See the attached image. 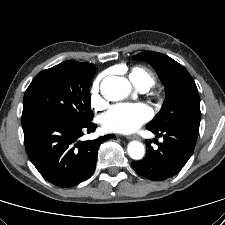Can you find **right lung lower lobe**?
Segmentation results:
<instances>
[{
  "label": "right lung lower lobe",
  "instance_id": "1",
  "mask_svg": "<svg viewBox=\"0 0 225 225\" xmlns=\"http://www.w3.org/2000/svg\"><path fill=\"white\" fill-rule=\"evenodd\" d=\"M21 122L31 162L47 181L62 188L87 180L96 167L100 144L114 137L81 142L79 138L84 132H94L96 124L75 123L50 112L23 113Z\"/></svg>",
  "mask_w": 225,
  "mask_h": 225
}]
</instances>
